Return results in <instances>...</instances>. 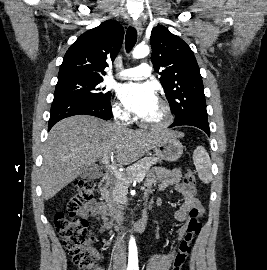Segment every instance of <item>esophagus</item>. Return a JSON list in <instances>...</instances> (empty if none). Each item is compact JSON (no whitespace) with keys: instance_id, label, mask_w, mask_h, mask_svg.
I'll return each instance as SVG.
<instances>
[{"instance_id":"34e87169","label":"esophagus","mask_w":267,"mask_h":270,"mask_svg":"<svg viewBox=\"0 0 267 270\" xmlns=\"http://www.w3.org/2000/svg\"><path fill=\"white\" fill-rule=\"evenodd\" d=\"M134 26H135V28L137 30L138 35L141 36L142 33H143L142 23L139 20L138 21H135L134 22Z\"/></svg>"}]
</instances>
